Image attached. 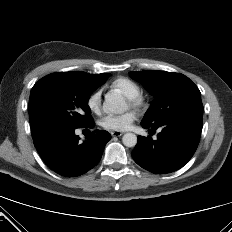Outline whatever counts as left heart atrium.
<instances>
[{
  "mask_svg": "<svg viewBox=\"0 0 232 232\" xmlns=\"http://www.w3.org/2000/svg\"><path fill=\"white\" fill-rule=\"evenodd\" d=\"M136 119L133 111H127L120 115H108L101 121V126L109 131H126L131 128L132 123Z\"/></svg>",
  "mask_w": 232,
  "mask_h": 232,
  "instance_id": "1",
  "label": "left heart atrium"
}]
</instances>
